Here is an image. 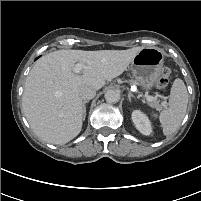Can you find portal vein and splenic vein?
Masks as SVG:
<instances>
[{
    "label": "portal vein and splenic vein",
    "mask_w": 201,
    "mask_h": 201,
    "mask_svg": "<svg viewBox=\"0 0 201 201\" xmlns=\"http://www.w3.org/2000/svg\"><path fill=\"white\" fill-rule=\"evenodd\" d=\"M84 68V65L82 63H77L73 69L74 73H79ZM146 99L148 101H154L155 97L152 96H146ZM164 105H166V102H163Z\"/></svg>",
    "instance_id": "1"
}]
</instances>
